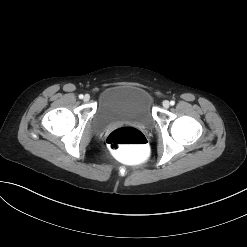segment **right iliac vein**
Returning a JSON list of instances; mask_svg holds the SVG:
<instances>
[{
  "label": "right iliac vein",
  "mask_w": 247,
  "mask_h": 247,
  "mask_svg": "<svg viewBox=\"0 0 247 247\" xmlns=\"http://www.w3.org/2000/svg\"><path fill=\"white\" fill-rule=\"evenodd\" d=\"M83 100L85 102H88L90 100V95L86 94L84 97H83Z\"/></svg>",
  "instance_id": "obj_1"
}]
</instances>
